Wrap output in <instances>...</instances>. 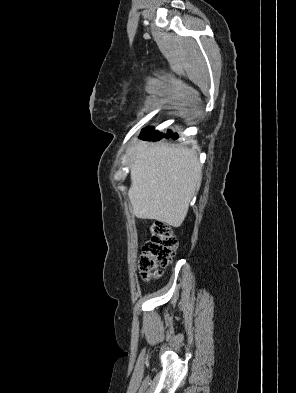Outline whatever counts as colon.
I'll return each instance as SVG.
<instances>
[{
  "label": "colon",
  "instance_id": "1",
  "mask_svg": "<svg viewBox=\"0 0 296 393\" xmlns=\"http://www.w3.org/2000/svg\"><path fill=\"white\" fill-rule=\"evenodd\" d=\"M176 247L177 239L171 227L162 221H154L151 225V237L145 242L139 258V269L145 281L159 276L158 268L170 263Z\"/></svg>",
  "mask_w": 296,
  "mask_h": 393
}]
</instances>
